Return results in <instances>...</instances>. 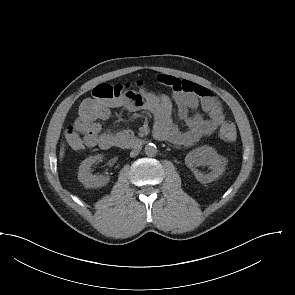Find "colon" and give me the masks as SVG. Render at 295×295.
Returning <instances> with one entry per match:
<instances>
[{
	"label": "colon",
	"instance_id": "obj_1",
	"mask_svg": "<svg viewBox=\"0 0 295 295\" xmlns=\"http://www.w3.org/2000/svg\"><path fill=\"white\" fill-rule=\"evenodd\" d=\"M130 91L128 85L121 84H99L92 90V98L85 100L80 111L89 113L97 104L109 103L122 97ZM220 137L226 142H233L236 139V127L230 121H225L219 131Z\"/></svg>",
	"mask_w": 295,
	"mask_h": 295
}]
</instances>
